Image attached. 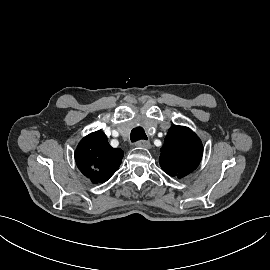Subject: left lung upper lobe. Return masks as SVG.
<instances>
[{"label":"left lung upper lobe","instance_id":"5c2ea615","mask_svg":"<svg viewBox=\"0 0 270 270\" xmlns=\"http://www.w3.org/2000/svg\"><path fill=\"white\" fill-rule=\"evenodd\" d=\"M202 155L198 136L187 127L174 125L165 137L159 162L168 175L182 178L197 168Z\"/></svg>","mask_w":270,"mask_h":270}]
</instances>
